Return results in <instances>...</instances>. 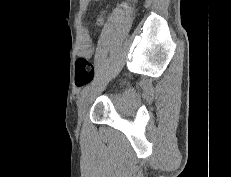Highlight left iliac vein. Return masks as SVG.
<instances>
[{"mask_svg":"<svg viewBox=\"0 0 231 177\" xmlns=\"http://www.w3.org/2000/svg\"><path fill=\"white\" fill-rule=\"evenodd\" d=\"M90 102V94H85L78 105V124L81 125Z\"/></svg>","mask_w":231,"mask_h":177,"instance_id":"1","label":"left iliac vein"}]
</instances>
